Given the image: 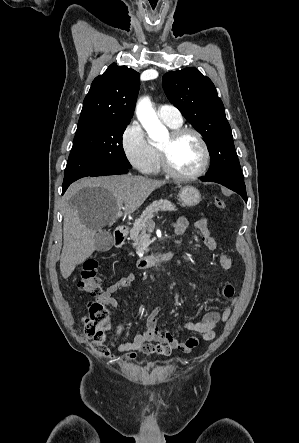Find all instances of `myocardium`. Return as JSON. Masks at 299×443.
<instances>
[{
  "mask_svg": "<svg viewBox=\"0 0 299 443\" xmlns=\"http://www.w3.org/2000/svg\"><path fill=\"white\" fill-rule=\"evenodd\" d=\"M186 134H192L196 137V139L200 143L203 157H202V162L197 170L191 173H180L174 169V167L170 162V147L180 137ZM159 154H160V164L163 171L170 177L177 180H191L201 177L206 172L210 162V150L207 145V142L205 141L204 137L198 130L191 127H178L176 129H173L169 134V139L167 143L161 144L159 146Z\"/></svg>",
  "mask_w": 299,
  "mask_h": 443,
  "instance_id": "obj_1",
  "label": "myocardium"
}]
</instances>
